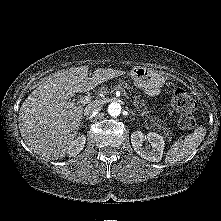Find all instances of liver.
<instances>
[{
	"label": "liver",
	"instance_id": "1",
	"mask_svg": "<svg viewBox=\"0 0 221 221\" xmlns=\"http://www.w3.org/2000/svg\"><path fill=\"white\" fill-rule=\"evenodd\" d=\"M88 66L71 67L54 73L25 99L19 110V129L34 153L51 160L63 158L78 134L83 105L68 100L125 71L97 68L88 77Z\"/></svg>",
	"mask_w": 221,
	"mask_h": 221
}]
</instances>
